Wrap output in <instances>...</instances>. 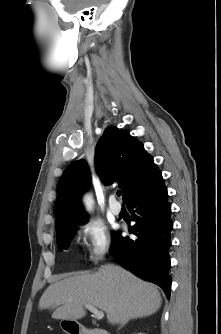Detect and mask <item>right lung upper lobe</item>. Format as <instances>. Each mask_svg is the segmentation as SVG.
Returning a JSON list of instances; mask_svg holds the SVG:
<instances>
[{
	"instance_id": "1",
	"label": "right lung upper lobe",
	"mask_w": 221,
	"mask_h": 334,
	"mask_svg": "<svg viewBox=\"0 0 221 334\" xmlns=\"http://www.w3.org/2000/svg\"><path fill=\"white\" fill-rule=\"evenodd\" d=\"M95 165L104 184L119 183L124 201L147 187L159 174L143 144L126 130L107 127L95 149ZM90 173L83 161L70 164L62 174L56 199V231L87 219L80 197L89 186Z\"/></svg>"
}]
</instances>
